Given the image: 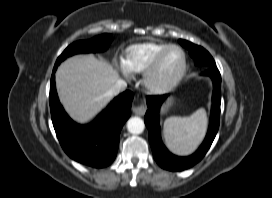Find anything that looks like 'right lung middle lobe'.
<instances>
[{
	"label": "right lung middle lobe",
	"instance_id": "obj_1",
	"mask_svg": "<svg viewBox=\"0 0 272 198\" xmlns=\"http://www.w3.org/2000/svg\"><path fill=\"white\" fill-rule=\"evenodd\" d=\"M110 41H111L110 34H103L101 36L94 37L93 39L88 41H77L68 46L63 51V53L58 57L55 65L58 66L68 56L77 53L104 51L108 48Z\"/></svg>",
	"mask_w": 272,
	"mask_h": 198
}]
</instances>
